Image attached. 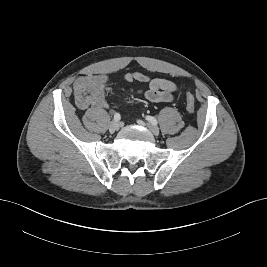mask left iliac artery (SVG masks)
Returning <instances> with one entry per match:
<instances>
[{"instance_id": "left-iliac-artery-1", "label": "left iliac artery", "mask_w": 267, "mask_h": 267, "mask_svg": "<svg viewBox=\"0 0 267 267\" xmlns=\"http://www.w3.org/2000/svg\"><path fill=\"white\" fill-rule=\"evenodd\" d=\"M146 120H147L148 122H150L152 125H155V126H156V125L158 124L156 118H154V117H152V116H146Z\"/></svg>"}]
</instances>
